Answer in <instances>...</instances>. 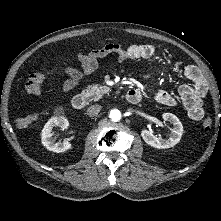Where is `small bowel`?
I'll return each mask as SVG.
<instances>
[{"mask_svg": "<svg viewBox=\"0 0 221 221\" xmlns=\"http://www.w3.org/2000/svg\"><path fill=\"white\" fill-rule=\"evenodd\" d=\"M157 52L158 49L153 45L133 44L123 46L120 43H108L88 53H79L77 59L80 63V69L65 65L61 70L62 74L67 77L63 84L62 92L67 93L77 87L84 77L92 74L97 69L99 59L110 54H116L120 62H125L128 60L150 59ZM184 75L191 83L181 85L178 93L189 118L199 121L204 117L205 113L203 98L208 90L207 82L200 70L193 65L185 67ZM135 91L142 97V93L139 90ZM154 99L156 102L168 107H173L177 104V100L163 90L156 91Z\"/></svg>", "mask_w": 221, "mask_h": 221, "instance_id": "small-bowel-1", "label": "small bowel"}]
</instances>
